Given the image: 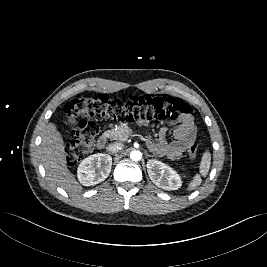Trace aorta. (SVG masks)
Returning a JSON list of instances; mask_svg holds the SVG:
<instances>
[{"label":"aorta","mask_w":267,"mask_h":267,"mask_svg":"<svg viewBox=\"0 0 267 267\" xmlns=\"http://www.w3.org/2000/svg\"><path fill=\"white\" fill-rule=\"evenodd\" d=\"M130 158H131L133 161H139V160H141V158H142V153H141L140 151H137V150L132 151V152L130 153Z\"/></svg>","instance_id":"obj_1"}]
</instances>
